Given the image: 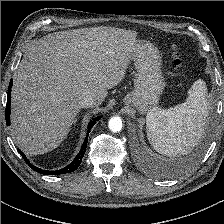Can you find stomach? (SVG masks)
Listing matches in <instances>:
<instances>
[{
	"label": "stomach",
	"mask_w": 224,
	"mask_h": 224,
	"mask_svg": "<svg viewBox=\"0 0 224 224\" xmlns=\"http://www.w3.org/2000/svg\"><path fill=\"white\" fill-rule=\"evenodd\" d=\"M137 70L135 89L125 96L123 103L145 113L155 108L165 87L161 73V57L158 49L149 41L138 40L133 51Z\"/></svg>",
	"instance_id": "0dacf381"
}]
</instances>
